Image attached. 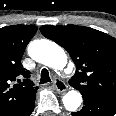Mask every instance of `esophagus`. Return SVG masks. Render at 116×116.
<instances>
[{"instance_id":"obj_1","label":"esophagus","mask_w":116,"mask_h":116,"mask_svg":"<svg viewBox=\"0 0 116 116\" xmlns=\"http://www.w3.org/2000/svg\"><path fill=\"white\" fill-rule=\"evenodd\" d=\"M53 86L57 92H65L67 90V85L62 80L56 78L53 82Z\"/></svg>"}]
</instances>
